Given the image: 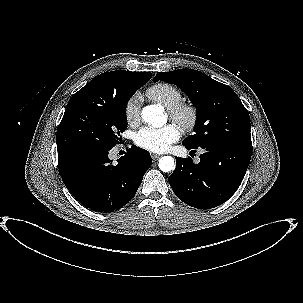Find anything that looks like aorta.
Masks as SVG:
<instances>
[{
  "instance_id": "762f6f07",
  "label": "aorta",
  "mask_w": 303,
  "mask_h": 303,
  "mask_svg": "<svg viewBox=\"0 0 303 303\" xmlns=\"http://www.w3.org/2000/svg\"><path fill=\"white\" fill-rule=\"evenodd\" d=\"M142 118L154 127H160L165 123L163 109L159 105H148L142 110ZM175 168L174 159L171 156H163L159 160V169L170 172Z\"/></svg>"
}]
</instances>
